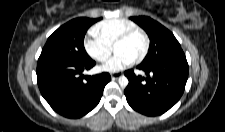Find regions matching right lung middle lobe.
I'll use <instances>...</instances> for the list:
<instances>
[{
	"label": "right lung middle lobe",
	"instance_id": "right-lung-middle-lobe-1",
	"mask_svg": "<svg viewBox=\"0 0 225 132\" xmlns=\"http://www.w3.org/2000/svg\"><path fill=\"white\" fill-rule=\"evenodd\" d=\"M99 19L76 18L58 28L47 40L40 57H54L75 62L91 60L84 48L88 28Z\"/></svg>",
	"mask_w": 225,
	"mask_h": 132
}]
</instances>
